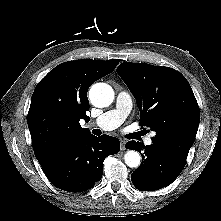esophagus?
I'll list each match as a JSON object with an SVG mask.
<instances>
[{
    "mask_svg": "<svg viewBox=\"0 0 221 221\" xmlns=\"http://www.w3.org/2000/svg\"><path fill=\"white\" fill-rule=\"evenodd\" d=\"M120 145H121V150L124 151L126 149V142L124 140L120 141Z\"/></svg>",
    "mask_w": 221,
    "mask_h": 221,
    "instance_id": "obj_1",
    "label": "esophagus"
}]
</instances>
